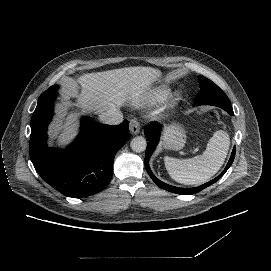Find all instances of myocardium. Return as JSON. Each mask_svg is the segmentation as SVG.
<instances>
[{
  "label": "myocardium",
  "mask_w": 271,
  "mask_h": 271,
  "mask_svg": "<svg viewBox=\"0 0 271 271\" xmlns=\"http://www.w3.org/2000/svg\"><path fill=\"white\" fill-rule=\"evenodd\" d=\"M179 98V95H177L175 98H174V100H177Z\"/></svg>",
  "instance_id": "myocardium-1"
}]
</instances>
